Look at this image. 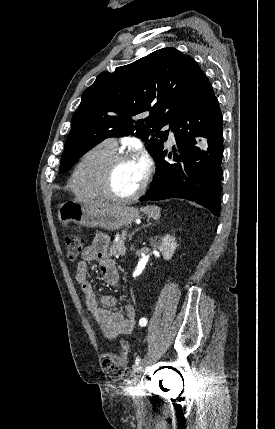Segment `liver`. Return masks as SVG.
I'll return each instance as SVG.
<instances>
[{
  "label": "liver",
  "instance_id": "1",
  "mask_svg": "<svg viewBox=\"0 0 275 429\" xmlns=\"http://www.w3.org/2000/svg\"><path fill=\"white\" fill-rule=\"evenodd\" d=\"M88 205L92 208H104V207L110 206L109 204H103V203H98V202H91Z\"/></svg>",
  "mask_w": 275,
  "mask_h": 429
}]
</instances>
